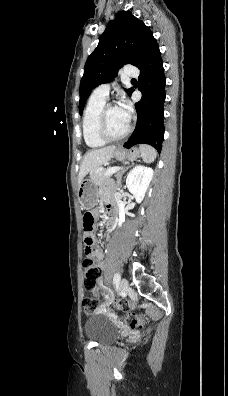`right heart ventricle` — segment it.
<instances>
[{"label":"right heart ventricle","mask_w":228,"mask_h":396,"mask_svg":"<svg viewBox=\"0 0 228 396\" xmlns=\"http://www.w3.org/2000/svg\"><path fill=\"white\" fill-rule=\"evenodd\" d=\"M106 104V99L97 97L94 94L90 97L85 108L82 119V133L86 145L89 148L96 149L105 145L97 131L98 115L102 107Z\"/></svg>","instance_id":"e07e8e85"}]
</instances>
